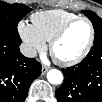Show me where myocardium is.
Masks as SVG:
<instances>
[{
  "instance_id": "obj_1",
  "label": "myocardium",
  "mask_w": 102,
  "mask_h": 102,
  "mask_svg": "<svg viewBox=\"0 0 102 102\" xmlns=\"http://www.w3.org/2000/svg\"><path fill=\"white\" fill-rule=\"evenodd\" d=\"M78 22H85L90 30V35L86 46L84 47L83 51L75 58L70 60H60L56 58L53 54L54 48L59 43V41L66 35L69 29ZM94 41V29L89 19L85 17H77L67 24H65L50 40L49 42V52L55 58V60L64 67H69L80 63L89 53Z\"/></svg>"
}]
</instances>
